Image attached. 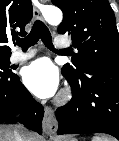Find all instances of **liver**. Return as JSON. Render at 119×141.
<instances>
[{"label":"liver","instance_id":"obj_1","mask_svg":"<svg viewBox=\"0 0 119 141\" xmlns=\"http://www.w3.org/2000/svg\"><path fill=\"white\" fill-rule=\"evenodd\" d=\"M15 129L9 126H0V141H14ZM27 141H37L33 133H24Z\"/></svg>","mask_w":119,"mask_h":141}]
</instances>
